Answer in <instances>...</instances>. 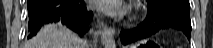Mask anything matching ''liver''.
Here are the masks:
<instances>
[{"label": "liver", "mask_w": 213, "mask_h": 48, "mask_svg": "<svg viewBox=\"0 0 213 48\" xmlns=\"http://www.w3.org/2000/svg\"><path fill=\"white\" fill-rule=\"evenodd\" d=\"M24 46V48H88L85 41L61 23L42 27Z\"/></svg>", "instance_id": "1"}]
</instances>
